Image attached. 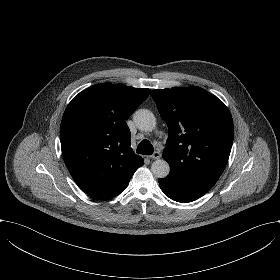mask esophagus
<instances>
[{
    "mask_svg": "<svg viewBox=\"0 0 280 280\" xmlns=\"http://www.w3.org/2000/svg\"><path fill=\"white\" fill-rule=\"evenodd\" d=\"M151 159H159L161 158V152L160 151H155L151 156H150Z\"/></svg>",
    "mask_w": 280,
    "mask_h": 280,
    "instance_id": "esophagus-1",
    "label": "esophagus"
}]
</instances>
